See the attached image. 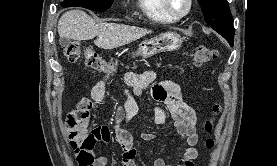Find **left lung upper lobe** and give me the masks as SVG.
I'll return each instance as SVG.
<instances>
[{"label": "left lung upper lobe", "instance_id": "5c2ea615", "mask_svg": "<svg viewBox=\"0 0 277 166\" xmlns=\"http://www.w3.org/2000/svg\"><path fill=\"white\" fill-rule=\"evenodd\" d=\"M206 23L221 34L232 46L233 19L227 0H198Z\"/></svg>", "mask_w": 277, "mask_h": 166}]
</instances>
